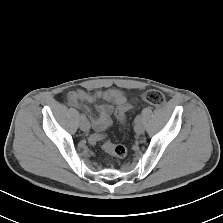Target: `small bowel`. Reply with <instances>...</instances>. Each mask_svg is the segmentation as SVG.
<instances>
[{
  "label": "small bowel",
  "mask_w": 223,
  "mask_h": 223,
  "mask_svg": "<svg viewBox=\"0 0 223 223\" xmlns=\"http://www.w3.org/2000/svg\"><path fill=\"white\" fill-rule=\"evenodd\" d=\"M110 102L107 105H98L96 107L97 116H93L85 106L86 102H96L98 100ZM68 103L81 109L89 117L94 130L101 132L111 125L110 115L114 110V105H123L126 101L125 95L118 89L97 90L86 92L84 90L71 91L67 94Z\"/></svg>",
  "instance_id": "c3829d8e"
}]
</instances>
